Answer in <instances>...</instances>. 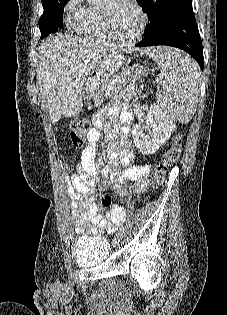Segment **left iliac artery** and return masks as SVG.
<instances>
[{
    "label": "left iliac artery",
    "mask_w": 227,
    "mask_h": 315,
    "mask_svg": "<svg viewBox=\"0 0 227 315\" xmlns=\"http://www.w3.org/2000/svg\"><path fill=\"white\" fill-rule=\"evenodd\" d=\"M124 233V227H120V229L118 230V235H123Z\"/></svg>",
    "instance_id": "left-iliac-artery-1"
}]
</instances>
